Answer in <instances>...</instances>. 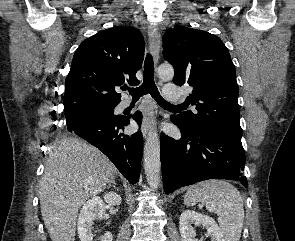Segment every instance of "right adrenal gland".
I'll return each instance as SVG.
<instances>
[{"label":"right adrenal gland","mask_w":295,"mask_h":241,"mask_svg":"<svg viewBox=\"0 0 295 241\" xmlns=\"http://www.w3.org/2000/svg\"><path fill=\"white\" fill-rule=\"evenodd\" d=\"M108 184H109V186H111V184H116V182H115V176H111Z\"/></svg>","instance_id":"obj_1"}]
</instances>
